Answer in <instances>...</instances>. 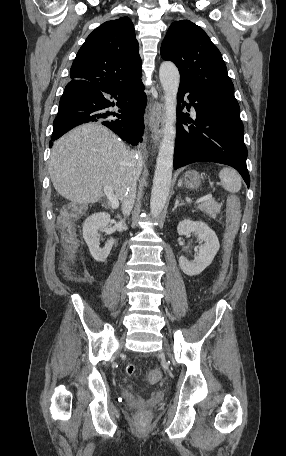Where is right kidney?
<instances>
[{"instance_id": "obj_1", "label": "right kidney", "mask_w": 286, "mask_h": 456, "mask_svg": "<svg viewBox=\"0 0 286 456\" xmlns=\"http://www.w3.org/2000/svg\"><path fill=\"white\" fill-rule=\"evenodd\" d=\"M110 214L106 212L94 213L83 224V238L92 257L97 262H104L115 243L114 239L107 241L103 248L100 247L99 231L108 227Z\"/></svg>"}]
</instances>
